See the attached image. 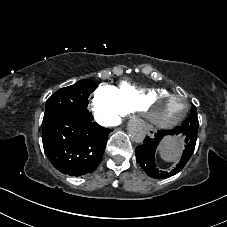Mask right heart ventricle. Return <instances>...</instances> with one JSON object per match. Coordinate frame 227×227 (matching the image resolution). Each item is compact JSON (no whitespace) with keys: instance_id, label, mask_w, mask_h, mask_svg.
Listing matches in <instances>:
<instances>
[{"instance_id":"1","label":"right heart ventricle","mask_w":227,"mask_h":227,"mask_svg":"<svg viewBox=\"0 0 227 227\" xmlns=\"http://www.w3.org/2000/svg\"><path fill=\"white\" fill-rule=\"evenodd\" d=\"M119 98L127 113L140 112L143 104L149 98L167 93L168 90L161 87L145 88L130 82H121L117 87Z\"/></svg>"}]
</instances>
